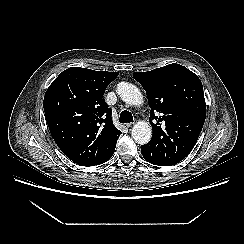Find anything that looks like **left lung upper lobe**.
<instances>
[{"label": "left lung upper lobe", "mask_w": 244, "mask_h": 244, "mask_svg": "<svg viewBox=\"0 0 244 244\" xmlns=\"http://www.w3.org/2000/svg\"><path fill=\"white\" fill-rule=\"evenodd\" d=\"M133 77L146 91L151 108L153 134L150 142L143 145L150 163L158 166L179 163L193 149L206 118L199 77L176 63L135 72ZM154 112L161 116H155Z\"/></svg>", "instance_id": "obj_1"}]
</instances>
